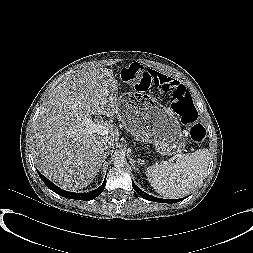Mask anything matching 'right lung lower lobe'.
I'll use <instances>...</instances> for the list:
<instances>
[{
    "label": "right lung lower lobe",
    "instance_id": "98d812e1",
    "mask_svg": "<svg viewBox=\"0 0 253 253\" xmlns=\"http://www.w3.org/2000/svg\"><path fill=\"white\" fill-rule=\"evenodd\" d=\"M37 172L39 176L41 177V179L43 180V182L47 185V187H49L52 191H54L58 195L69 198V199L87 200V201L92 200L103 192L106 185V178H105L103 184L96 190H93L88 193H71V192H67L60 189L59 187L54 185L51 181H49L47 178H45L39 171Z\"/></svg>",
    "mask_w": 253,
    "mask_h": 253
}]
</instances>
